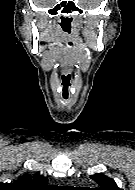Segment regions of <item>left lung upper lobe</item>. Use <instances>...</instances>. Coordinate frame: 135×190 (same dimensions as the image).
Instances as JSON below:
<instances>
[{
  "mask_svg": "<svg viewBox=\"0 0 135 190\" xmlns=\"http://www.w3.org/2000/svg\"><path fill=\"white\" fill-rule=\"evenodd\" d=\"M91 178L101 186L98 190H122L112 178L102 173H95Z\"/></svg>",
  "mask_w": 135,
  "mask_h": 190,
  "instance_id": "left-lung-upper-lobe-1",
  "label": "left lung upper lobe"
}]
</instances>
